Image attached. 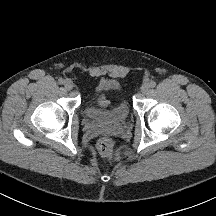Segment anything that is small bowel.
Masks as SVG:
<instances>
[{
	"mask_svg": "<svg viewBox=\"0 0 216 216\" xmlns=\"http://www.w3.org/2000/svg\"><path fill=\"white\" fill-rule=\"evenodd\" d=\"M100 102H101L102 104H106V103H107V99H106L105 97H101V98H100Z\"/></svg>",
	"mask_w": 216,
	"mask_h": 216,
	"instance_id": "obj_1",
	"label": "small bowel"
}]
</instances>
